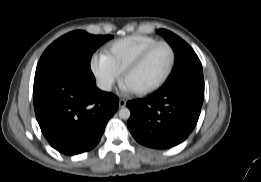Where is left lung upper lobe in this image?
Instances as JSON below:
<instances>
[{
	"instance_id": "left-lung-upper-lobe-1",
	"label": "left lung upper lobe",
	"mask_w": 261,
	"mask_h": 182,
	"mask_svg": "<svg viewBox=\"0 0 261 182\" xmlns=\"http://www.w3.org/2000/svg\"><path fill=\"white\" fill-rule=\"evenodd\" d=\"M157 32L167 40L175 52L174 68L161 90H169L186 81L203 78L202 65L194 50L168 30L159 29Z\"/></svg>"
}]
</instances>
